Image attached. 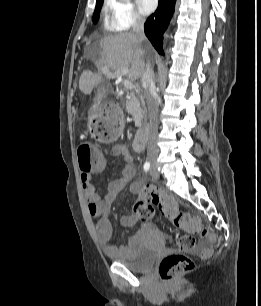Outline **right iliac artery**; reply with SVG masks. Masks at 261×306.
Listing matches in <instances>:
<instances>
[{"label": "right iliac artery", "instance_id": "right-iliac-artery-1", "mask_svg": "<svg viewBox=\"0 0 261 306\" xmlns=\"http://www.w3.org/2000/svg\"><path fill=\"white\" fill-rule=\"evenodd\" d=\"M149 169H150V163L149 162H145L144 170L147 172Z\"/></svg>", "mask_w": 261, "mask_h": 306}]
</instances>
